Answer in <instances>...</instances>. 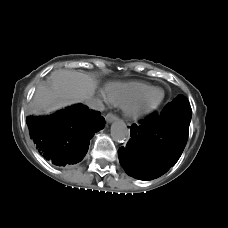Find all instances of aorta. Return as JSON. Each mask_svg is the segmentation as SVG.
<instances>
[{
	"label": "aorta",
	"mask_w": 228,
	"mask_h": 228,
	"mask_svg": "<svg viewBox=\"0 0 228 228\" xmlns=\"http://www.w3.org/2000/svg\"><path fill=\"white\" fill-rule=\"evenodd\" d=\"M129 129L122 120H116L111 125V136L116 142H124L129 137Z\"/></svg>",
	"instance_id": "aorta-1"
}]
</instances>
